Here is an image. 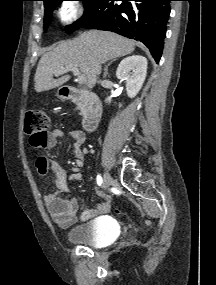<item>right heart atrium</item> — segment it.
<instances>
[{"label":"right heart atrium","instance_id":"d8ad5b80","mask_svg":"<svg viewBox=\"0 0 216 285\" xmlns=\"http://www.w3.org/2000/svg\"><path fill=\"white\" fill-rule=\"evenodd\" d=\"M82 15V7L76 2H65L58 11L63 24H71Z\"/></svg>","mask_w":216,"mask_h":285}]
</instances>
